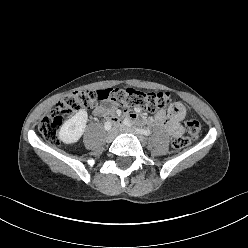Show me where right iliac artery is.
Returning <instances> with one entry per match:
<instances>
[{
  "instance_id": "right-iliac-artery-1",
  "label": "right iliac artery",
  "mask_w": 248,
  "mask_h": 248,
  "mask_svg": "<svg viewBox=\"0 0 248 248\" xmlns=\"http://www.w3.org/2000/svg\"><path fill=\"white\" fill-rule=\"evenodd\" d=\"M111 127H112V124H111L110 121L105 122L104 128H105L106 131L111 130Z\"/></svg>"
}]
</instances>
